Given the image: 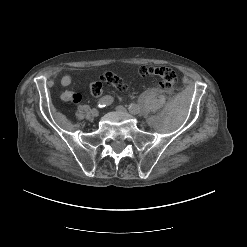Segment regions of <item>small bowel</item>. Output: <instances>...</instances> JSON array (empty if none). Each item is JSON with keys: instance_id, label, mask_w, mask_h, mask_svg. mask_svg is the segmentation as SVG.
I'll list each match as a JSON object with an SVG mask.
<instances>
[{"instance_id": "small-bowel-1", "label": "small bowel", "mask_w": 247, "mask_h": 247, "mask_svg": "<svg viewBox=\"0 0 247 247\" xmlns=\"http://www.w3.org/2000/svg\"><path fill=\"white\" fill-rule=\"evenodd\" d=\"M71 82H72V78L70 75H64L60 80V83L63 87L69 86ZM61 99L63 101H73L77 103L81 100V95L79 93H75L72 91H64L61 94Z\"/></svg>"}]
</instances>
